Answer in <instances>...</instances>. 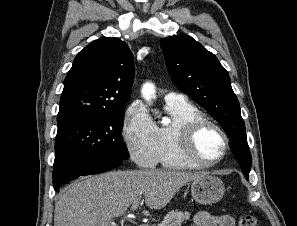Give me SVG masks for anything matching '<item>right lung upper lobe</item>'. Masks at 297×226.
I'll return each instance as SVG.
<instances>
[{
  "instance_id": "cb5924a9",
  "label": "right lung upper lobe",
  "mask_w": 297,
  "mask_h": 226,
  "mask_svg": "<svg viewBox=\"0 0 297 226\" xmlns=\"http://www.w3.org/2000/svg\"><path fill=\"white\" fill-rule=\"evenodd\" d=\"M134 79V58L118 38H100L80 51L65 80L57 120L78 114L124 112Z\"/></svg>"
}]
</instances>
